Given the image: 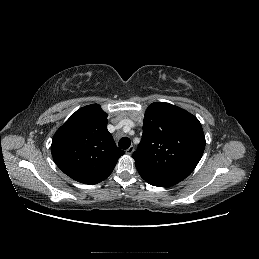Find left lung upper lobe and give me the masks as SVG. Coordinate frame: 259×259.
Instances as JSON below:
<instances>
[{"instance_id": "left-lung-upper-lobe-1", "label": "left lung upper lobe", "mask_w": 259, "mask_h": 259, "mask_svg": "<svg viewBox=\"0 0 259 259\" xmlns=\"http://www.w3.org/2000/svg\"><path fill=\"white\" fill-rule=\"evenodd\" d=\"M204 149V132L195 116L169 103H152L132 157L135 165L182 181L195 169Z\"/></svg>"}]
</instances>
